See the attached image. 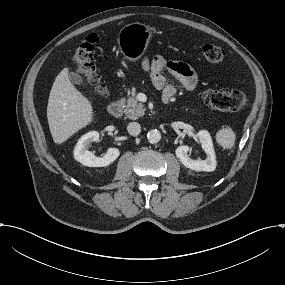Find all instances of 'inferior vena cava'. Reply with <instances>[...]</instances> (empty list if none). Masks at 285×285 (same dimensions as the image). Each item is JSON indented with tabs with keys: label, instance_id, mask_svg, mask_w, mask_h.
<instances>
[{
	"label": "inferior vena cava",
	"instance_id": "obj_1",
	"mask_svg": "<svg viewBox=\"0 0 285 285\" xmlns=\"http://www.w3.org/2000/svg\"><path fill=\"white\" fill-rule=\"evenodd\" d=\"M127 131L132 136H137L141 132V126L137 122H131L127 126Z\"/></svg>",
	"mask_w": 285,
	"mask_h": 285
}]
</instances>
